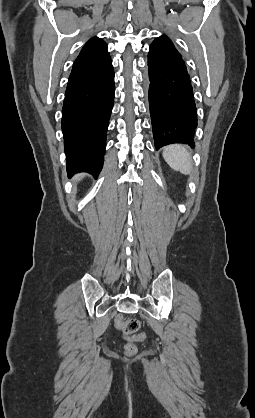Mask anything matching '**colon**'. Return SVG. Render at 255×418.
Segmentation results:
<instances>
[{
	"label": "colon",
	"instance_id": "5ec220e1",
	"mask_svg": "<svg viewBox=\"0 0 255 418\" xmlns=\"http://www.w3.org/2000/svg\"><path fill=\"white\" fill-rule=\"evenodd\" d=\"M116 325L126 336H133L140 329V322L136 318H124L121 315L116 317ZM141 336L136 337V339H141ZM125 354L128 356H133L137 353V346L129 341L124 345Z\"/></svg>",
	"mask_w": 255,
	"mask_h": 418
}]
</instances>
